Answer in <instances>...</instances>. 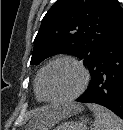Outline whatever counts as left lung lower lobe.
I'll return each mask as SVG.
<instances>
[{
  "mask_svg": "<svg viewBox=\"0 0 123 130\" xmlns=\"http://www.w3.org/2000/svg\"><path fill=\"white\" fill-rule=\"evenodd\" d=\"M91 82L77 102L102 105L123 119V24L89 68Z\"/></svg>",
  "mask_w": 123,
  "mask_h": 130,
  "instance_id": "left-lung-lower-lobe-1",
  "label": "left lung lower lobe"
}]
</instances>
